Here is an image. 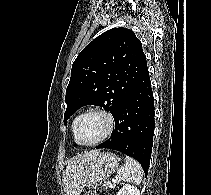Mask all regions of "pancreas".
<instances>
[{"instance_id":"pancreas-1","label":"pancreas","mask_w":211,"mask_h":195,"mask_svg":"<svg viewBox=\"0 0 211 195\" xmlns=\"http://www.w3.org/2000/svg\"><path fill=\"white\" fill-rule=\"evenodd\" d=\"M115 184H111L110 182H105L102 187L106 188V189H114L115 188Z\"/></svg>"}]
</instances>
